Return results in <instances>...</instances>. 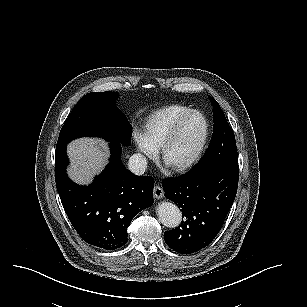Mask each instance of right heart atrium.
I'll list each match as a JSON object with an SVG mask.
<instances>
[{"label": "right heart atrium", "instance_id": "1", "mask_svg": "<svg viewBox=\"0 0 307 307\" xmlns=\"http://www.w3.org/2000/svg\"><path fill=\"white\" fill-rule=\"evenodd\" d=\"M138 153L142 157H150L154 153V146L151 143V138L147 134H140L136 138Z\"/></svg>", "mask_w": 307, "mask_h": 307}]
</instances>
